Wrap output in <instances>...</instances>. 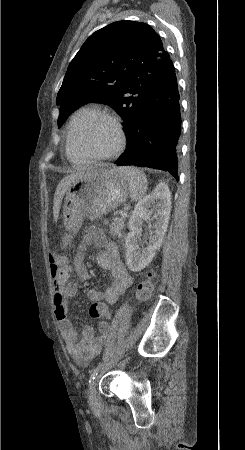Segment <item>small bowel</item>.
<instances>
[{
  "label": "small bowel",
  "mask_w": 245,
  "mask_h": 450,
  "mask_svg": "<svg viewBox=\"0 0 245 450\" xmlns=\"http://www.w3.org/2000/svg\"><path fill=\"white\" fill-rule=\"evenodd\" d=\"M88 246L99 250L96 262L109 273L111 278L110 286L103 292L90 289L89 299L113 305L132 283V277L123 265L117 244L108 240L103 231L96 227H89L86 230L73 264H64L55 270L51 267V276L54 282V317L60 325L68 353L77 364L82 366L101 352L110 330L109 323L101 320L97 322L98 335L95 334L93 328L84 327L79 338L68 317V299L77 295L79 282H84L91 277L83 262L84 252ZM73 272L77 275L78 281H69Z\"/></svg>",
  "instance_id": "1"
}]
</instances>
